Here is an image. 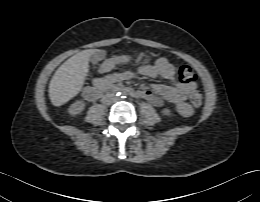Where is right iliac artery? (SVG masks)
Returning <instances> with one entry per match:
<instances>
[{
	"label": "right iliac artery",
	"instance_id": "obj_1",
	"mask_svg": "<svg viewBox=\"0 0 260 202\" xmlns=\"http://www.w3.org/2000/svg\"><path fill=\"white\" fill-rule=\"evenodd\" d=\"M115 95H116V96H119V95H121V92H120V90H116V91H115Z\"/></svg>",
	"mask_w": 260,
	"mask_h": 202
}]
</instances>
